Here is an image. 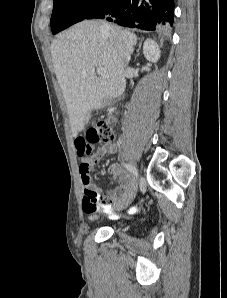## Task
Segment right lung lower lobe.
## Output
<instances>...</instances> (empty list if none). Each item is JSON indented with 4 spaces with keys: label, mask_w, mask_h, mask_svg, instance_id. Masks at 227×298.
<instances>
[{
    "label": "right lung lower lobe",
    "mask_w": 227,
    "mask_h": 298,
    "mask_svg": "<svg viewBox=\"0 0 227 298\" xmlns=\"http://www.w3.org/2000/svg\"><path fill=\"white\" fill-rule=\"evenodd\" d=\"M174 0H106L85 19L105 18L121 26L155 30L173 24Z\"/></svg>",
    "instance_id": "right-lung-lower-lobe-1"
}]
</instances>
